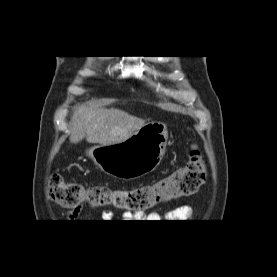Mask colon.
Instances as JSON below:
<instances>
[{
  "label": "colon",
  "mask_w": 277,
  "mask_h": 277,
  "mask_svg": "<svg viewBox=\"0 0 277 277\" xmlns=\"http://www.w3.org/2000/svg\"><path fill=\"white\" fill-rule=\"evenodd\" d=\"M205 178L206 167L201 153L193 146L187 164L151 185L132 189L86 187L67 182L59 173H53L49 178L47 193L52 201L66 208H77L84 204L92 207L110 205L132 212H145L159 203L193 195Z\"/></svg>",
  "instance_id": "colon-1"
}]
</instances>
